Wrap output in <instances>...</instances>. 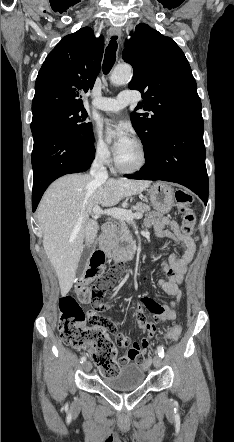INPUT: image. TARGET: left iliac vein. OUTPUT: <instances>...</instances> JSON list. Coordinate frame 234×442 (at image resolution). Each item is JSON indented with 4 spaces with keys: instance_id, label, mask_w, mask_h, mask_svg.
Masks as SVG:
<instances>
[{
    "instance_id": "obj_1",
    "label": "left iliac vein",
    "mask_w": 234,
    "mask_h": 442,
    "mask_svg": "<svg viewBox=\"0 0 234 442\" xmlns=\"http://www.w3.org/2000/svg\"><path fill=\"white\" fill-rule=\"evenodd\" d=\"M153 364L156 368H160L162 366V359L159 355H155L153 358Z\"/></svg>"
}]
</instances>
